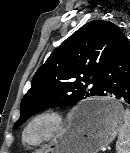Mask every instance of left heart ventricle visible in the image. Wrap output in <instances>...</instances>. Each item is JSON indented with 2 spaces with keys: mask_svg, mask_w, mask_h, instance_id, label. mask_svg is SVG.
Returning a JSON list of instances; mask_svg holds the SVG:
<instances>
[{
  "mask_svg": "<svg viewBox=\"0 0 130 153\" xmlns=\"http://www.w3.org/2000/svg\"><path fill=\"white\" fill-rule=\"evenodd\" d=\"M46 129V126L44 124H38V125H35L30 133H29V136L31 138H36L38 137L39 135H41Z\"/></svg>",
  "mask_w": 130,
  "mask_h": 153,
  "instance_id": "obj_1",
  "label": "left heart ventricle"
}]
</instances>
